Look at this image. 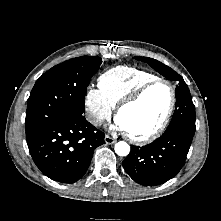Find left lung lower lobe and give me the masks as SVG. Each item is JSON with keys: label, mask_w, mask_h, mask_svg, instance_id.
Instances as JSON below:
<instances>
[{"label": "left lung lower lobe", "mask_w": 221, "mask_h": 221, "mask_svg": "<svg viewBox=\"0 0 221 221\" xmlns=\"http://www.w3.org/2000/svg\"><path fill=\"white\" fill-rule=\"evenodd\" d=\"M193 136L194 133L188 131H169L146 146H131L129 155L122 162L123 167L139 184H163L184 165Z\"/></svg>", "instance_id": "left-lung-lower-lobe-1"}]
</instances>
